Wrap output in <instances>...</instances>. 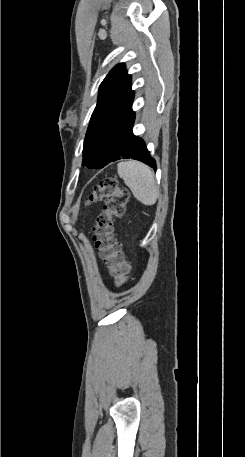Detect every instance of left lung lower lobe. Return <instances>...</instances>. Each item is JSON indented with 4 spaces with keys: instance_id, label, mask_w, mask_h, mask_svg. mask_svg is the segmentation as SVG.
Instances as JSON below:
<instances>
[{
    "instance_id": "left-lung-lower-lobe-1",
    "label": "left lung lower lobe",
    "mask_w": 245,
    "mask_h": 457,
    "mask_svg": "<svg viewBox=\"0 0 245 457\" xmlns=\"http://www.w3.org/2000/svg\"><path fill=\"white\" fill-rule=\"evenodd\" d=\"M134 120V112L130 111L90 130L84 141L82 164L99 169L110 162L131 158L156 171V162L150 156L145 142L132 132Z\"/></svg>"
}]
</instances>
